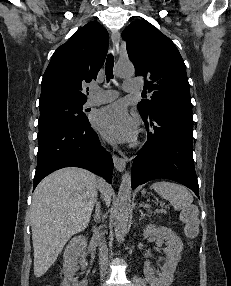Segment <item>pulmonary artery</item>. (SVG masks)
Instances as JSON below:
<instances>
[{"label":"pulmonary artery","instance_id":"e3ab8cb5","mask_svg":"<svg viewBox=\"0 0 231 286\" xmlns=\"http://www.w3.org/2000/svg\"><path fill=\"white\" fill-rule=\"evenodd\" d=\"M124 90L130 94H136L141 91V84L136 79L126 80ZM91 95L86 101L87 106H96L113 101L117 97L115 90H102L96 87L91 89Z\"/></svg>","mask_w":231,"mask_h":286}]
</instances>
